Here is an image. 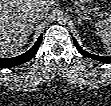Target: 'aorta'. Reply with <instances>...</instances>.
I'll use <instances>...</instances> for the list:
<instances>
[{"label":"aorta","mask_w":111,"mask_h":106,"mask_svg":"<svg viewBox=\"0 0 111 106\" xmlns=\"http://www.w3.org/2000/svg\"><path fill=\"white\" fill-rule=\"evenodd\" d=\"M57 19H58V21H60V22L65 21V19H66L65 13L62 12V11L58 12V14H57Z\"/></svg>","instance_id":"aorta-1"}]
</instances>
